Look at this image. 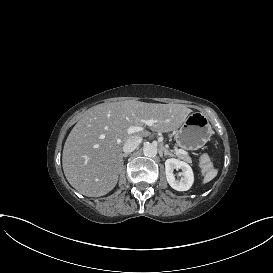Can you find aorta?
<instances>
[{
    "mask_svg": "<svg viewBox=\"0 0 273 273\" xmlns=\"http://www.w3.org/2000/svg\"><path fill=\"white\" fill-rule=\"evenodd\" d=\"M157 151V147L152 143L145 144L143 147V153L147 157H155Z\"/></svg>",
    "mask_w": 273,
    "mask_h": 273,
    "instance_id": "762f6f07",
    "label": "aorta"
}]
</instances>
